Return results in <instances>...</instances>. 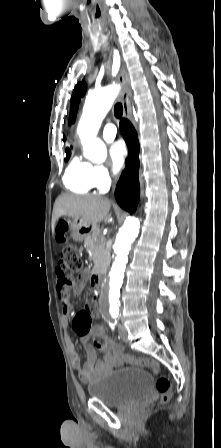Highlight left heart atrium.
<instances>
[{
    "mask_svg": "<svg viewBox=\"0 0 221 448\" xmlns=\"http://www.w3.org/2000/svg\"><path fill=\"white\" fill-rule=\"evenodd\" d=\"M127 154V149L122 142H114L111 144L109 149V155L111 160V165L114 171L118 172L125 161Z\"/></svg>",
    "mask_w": 221,
    "mask_h": 448,
    "instance_id": "obj_1",
    "label": "left heart atrium"
}]
</instances>
